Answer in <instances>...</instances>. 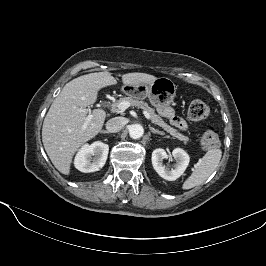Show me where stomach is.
Here are the masks:
<instances>
[{
  "label": "stomach",
  "instance_id": "obj_1",
  "mask_svg": "<svg viewBox=\"0 0 266 266\" xmlns=\"http://www.w3.org/2000/svg\"><path fill=\"white\" fill-rule=\"evenodd\" d=\"M175 83L167 78H156L151 83H142L139 85H124L122 91L136 99L149 98L150 103L156 109H162L169 106L176 96Z\"/></svg>",
  "mask_w": 266,
  "mask_h": 266
}]
</instances>
